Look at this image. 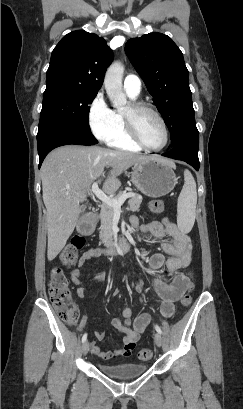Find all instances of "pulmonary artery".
<instances>
[{
    "label": "pulmonary artery",
    "mask_w": 243,
    "mask_h": 409,
    "mask_svg": "<svg viewBox=\"0 0 243 409\" xmlns=\"http://www.w3.org/2000/svg\"><path fill=\"white\" fill-rule=\"evenodd\" d=\"M124 90L134 96H139L141 93V80L137 75L129 74L123 81Z\"/></svg>",
    "instance_id": "pulmonary-artery-1"
}]
</instances>
